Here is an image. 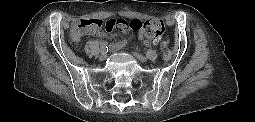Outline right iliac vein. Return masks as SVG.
Masks as SVG:
<instances>
[{
  "instance_id": "1",
  "label": "right iliac vein",
  "mask_w": 255,
  "mask_h": 122,
  "mask_svg": "<svg viewBox=\"0 0 255 122\" xmlns=\"http://www.w3.org/2000/svg\"><path fill=\"white\" fill-rule=\"evenodd\" d=\"M107 58V53L101 50V54L99 56L100 61H104Z\"/></svg>"
}]
</instances>
